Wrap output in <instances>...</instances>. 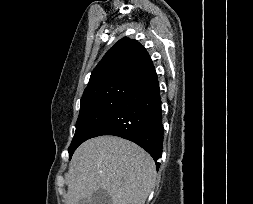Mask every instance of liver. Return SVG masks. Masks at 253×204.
Returning a JSON list of instances; mask_svg holds the SVG:
<instances>
[{"label":"liver","instance_id":"obj_1","mask_svg":"<svg viewBox=\"0 0 253 204\" xmlns=\"http://www.w3.org/2000/svg\"><path fill=\"white\" fill-rule=\"evenodd\" d=\"M66 204L90 202L103 189L112 204H145L156 180L152 157L123 138L105 135L82 143L69 165Z\"/></svg>","mask_w":253,"mask_h":204}]
</instances>
